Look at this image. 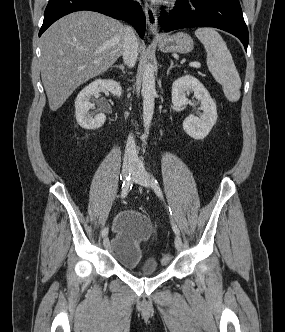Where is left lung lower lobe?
Wrapping results in <instances>:
<instances>
[{"label": "left lung lower lobe", "mask_w": 285, "mask_h": 332, "mask_svg": "<svg viewBox=\"0 0 285 332\" xmlns=\"http://www.w3.org/2000/svg\"><path fill=\"white\" fill-rule=\"evenodd\" d=\"M161 30L169 32L189 27H215L227 31L248 46V29L239 0H179L169 13L161 12Z\"/></svg>", "instance_id": "obj_1"}]
</instances>
